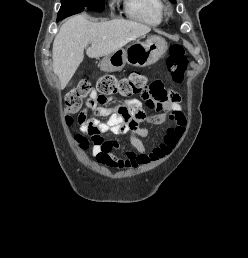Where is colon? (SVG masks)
<instances>
[{
	"mask_svg": "<svg viewBox=\"0 0 248 258\" xmlns=\"http://www.w3.org/2000/svg\"><path fill=\"white\" fill-rule=\"evenodd\" d=\"M188 68V58L184 48L180 44H173L170 47V54L167 59V69L173 81L180 83L185 77ZM148 80L145 75L139 72H132L124 78H116L113 75H104L99 78L96 84L98 92L96 103L101 104L106 101L108 96L121 95L130 97L133 95H141L142 97H156L157 90L155 82L147 85ZM164 89V86H161ZM94 91L88 79L81 80L75 88H73L65 97L64 114L68 123H71L70 115L77 113L83 107L84 100ZM163 99V95L157 96ZM121 113H126L127 109H120ZM91 139L94 143L101 141V137L94 130H89ZM76 141L80 148L87 149L89 140L84 135H76Z\"/></svg>",
	"mask_w": 248,
	"mask_h": 258,
	"instance_id": "1",
	"label": "colon"
}]
</instances>
